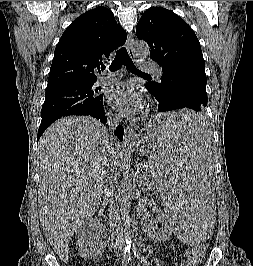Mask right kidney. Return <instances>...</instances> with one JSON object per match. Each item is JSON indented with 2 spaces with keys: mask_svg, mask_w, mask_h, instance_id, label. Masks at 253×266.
Returning <instances> with one entry per match:
<instances>
[{
  "mask_svg": "<svg viewBox=\"0 0 253 266\" xmlns=\"http://www.w3.org/2000/svg\"><path fill=\"white\" fill-rule=\"evenodd\" d=\"M102 226L90 219L80 226L76 234L79 253L85 258H97L102 255L106 243L103 241Z\"/></svg>",
  "mask_w": 253,
  "mask_h": 266,
  "instance_id": "obj_1",
  "label": "right kidney"
}]
</instances>
